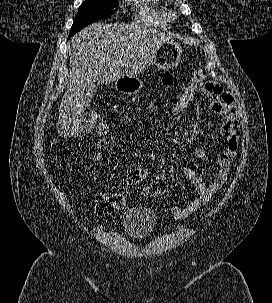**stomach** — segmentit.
I'll return each instance as SVG.
<instances>
[{
  "label": "stomach",
  "mask_w": 272,
  "mask_h": 303,
  "mask_svg": "<svg viewBox=\"0 0 272 303\" xmlns=\"http://www.w3.org/2000/svg\"><path fill=\"white\" fill-rule=\"evenodd\" d=\"M181 56V45L178 42L169 40L159 47L154 64L158 69H171L178 65ZM116 88L124 94H136L140 90V81L137 77H123L116 82Z\"/></svg>",
  "instance_id": "1"
}]
</instances>
